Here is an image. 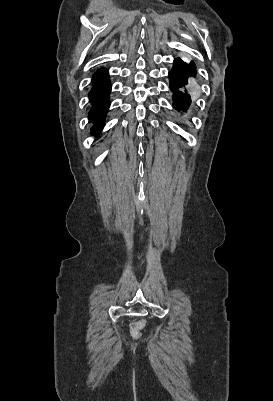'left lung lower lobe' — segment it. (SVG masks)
Listing matches in <instances>:
<instances>
[{"label":"left lung lower lobe","instance_id":"left-lung-lower-lobe-1","mask_svg":"<svg viewBox=\"0 0 273 401\" xmlns=\"http://www.w3.org/2000/svg\"><path fill=\"white\" fill-rule=\"evenodd\" d=\"M195 64L184 62L181 58L174 60L172 70L169 72L170 89L173 92V106L178 111H186L191 103L190 95L187 93L186 86L188 79L195 76Z\"/></svg>","mask_w":273,"mask_h":401}]
</instances>
